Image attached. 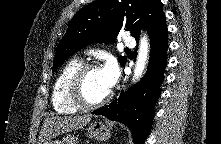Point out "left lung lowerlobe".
<instances>
[{"mask_svg":"<svg viewBox=\"0 0 221 144\" xmlns=\"http://www.w3.org/2000/svg\"><path fill=\"white\" fill-rule=\"evenodd\" d=\"M167 32L163 15L149 33L151 52L148 70L142 80L130 90L122 92L119 98L109 105L92 112L126 125L135 144H144L151 129L154 107L161 94L160 86L167 64Z\"/></svg>","mask_w":221,"mask_h":144,"instance_id":"left-lung-lower-lobe-1","label":"left lung lower lobe"}]
</instances>
